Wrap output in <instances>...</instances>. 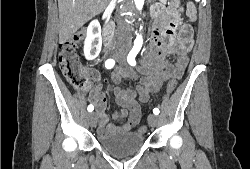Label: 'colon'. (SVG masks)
Segmentation results:
<instances>
[{"label":"colon","instance_id":"5ec220e1","mask_svg":"<svg viewBox=\"0 0 250 169\" xmlns=\"http://www.w3.org/2000/svg\"><path fill=\"white\" fill-rule=\"evenodd\" d=\"M187 12L193 14L195 8L192 4L187 7ZM188 27L183 28V33H187ZM86 35L84 33L75 34L72 38H66L59 45L58 62L60 69L67 80V82L76 90L87 93L89 91V82L87 73L81 64L78 55L77 47L83 43ZM179 85L177 78L170 79L166 83L165 97H170L176 86ZM132 100H138V95H132ZM146 128L142 126L140 132H145Z\"/></svg>","mask_w":250,"mask_h":169}]
</instances>
